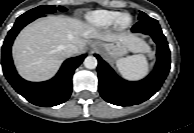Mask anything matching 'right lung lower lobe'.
Returning a JSON list of instances; mask_svg holds the SVG:
<instances>
[{
  "label": "right lung lower lobe",
  "instance_id": "1",
  "mask_svg": "<svg viewBox=\"0 0 194 133\" xmlns=\"http://www.w3.org/2000/svg\"><path fill=\"white\" fill-rule=\"evenodd\" d=\"M35 19L18 17L2 46V68L6 79L26 100L37 106H56L70 97L72 92V75L74 70L82 63L86 54L67 59L57 75L51 80L35 83L22 79L13 65L11 46L19 31Z\"/></svg>",
  "mask_w": 194,
  "mask_h": 133
}]
</instances>
